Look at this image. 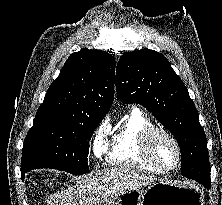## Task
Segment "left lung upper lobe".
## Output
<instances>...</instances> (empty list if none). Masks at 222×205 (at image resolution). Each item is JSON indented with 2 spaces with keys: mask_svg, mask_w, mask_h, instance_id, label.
Returning a JSON list of instances; mask_svg holds the SVG:
<instances>
[{
  "mask_svg": "<svg viewBox=\"0 0 222 205\" xmlns=\"http://www.w3.org/2000/svg\"><path fill=\"white\" fill-rule=\"evenodd\" d=\"M116 89L123 103H139L150 111L177 139L181 154H196L204 164L201 182H211L207 139L198 112L162 54L149 49L124 53L117 64Z\"/></svg>",
  "mask_w": 222,
  "mask_h": 205,
  "instance_id": "1",
  "label": "left lung upper lobe"
}]
</instances>
